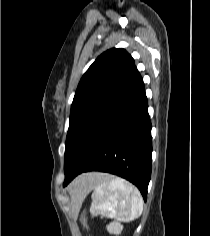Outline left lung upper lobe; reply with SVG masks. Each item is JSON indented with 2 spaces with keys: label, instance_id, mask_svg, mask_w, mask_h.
<instances>
[{
  "label": "left lung upper lobe",
  "instance_id": "1",
  "mask_svg": "<svg viewBox=\"0 0 210 236\" xmlns=\"http://www.w3.org/2000/svg\"><path fill=\"white\" fill-rule=\"evenodd\" d=\"M140 76L134 59L121 48L104 52L81 78L71 106L65 160L83 130Z\"/></svg>",
  "mask_w": 210,
  "mask_h": 236
}]
</instances>
